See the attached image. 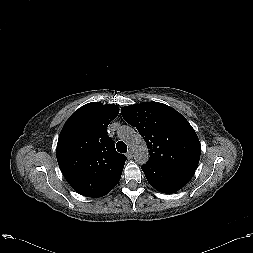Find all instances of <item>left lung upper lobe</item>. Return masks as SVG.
I'll list each match as a JSON object with an SVG mask.
<instances>
[{"label":"left lung upper lobe","mask_w":253,"mask_h":253,"mask_svg":"<svg viewBox=\"0 0 253 253\" xmlns=\"http://www.w3.org/2000/svg\"><path fill=\"white\" fill-rule=\"evenodd\" d=\"M124 120L136 127L149 149L147 164L196 170L201 146L189 122L175 109L145 102L121 109Z\"/></svg>","instance_id":"5c2ea615"}]
</instances>
